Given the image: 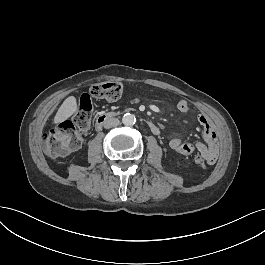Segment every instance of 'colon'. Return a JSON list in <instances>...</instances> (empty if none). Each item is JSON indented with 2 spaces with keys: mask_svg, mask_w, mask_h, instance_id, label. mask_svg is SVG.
<instances>
[{
  "mask_svg": "<svg viewBox=\"0 0 265 265\" xmlns=\"http://www.w3.org/2000/svg\"><path fill=\"white\" fill-rule=\"evenodd\" d=\"M123 91L119 82L94 84L88 93L83 95L79 102L80 108L72 120L63 122L44 136L43 143L47 155L50 157L61 156L78 144L80 136L75 130V126L86 128L91 123V112L94 109L92 98L115 101L122 96ZM194 159L198 166L205 167L208 165L204 161L203 155L197 154Z\"/></svg>",
  "mask_w": 265,
  "mask_h": 265,
  "instance_id": "obj_1",
  "label": "colon"
}]
</instances>
